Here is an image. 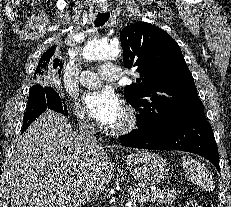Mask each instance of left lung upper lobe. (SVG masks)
<instances>
[{"label":"left lung upper lobe","mask_w":231,"mask_h":207,"mask_svg":"<svg viewBox=\"0 0 231 207\" xmlns=\"http://www.w3.org/2000/svg\"><path fill=\"white\" fill-rule=\"evenodd\" d=\"M126 67H136L137 84L124 97L140 115L139 129L161 130L176 119L204 112L191 72L176 41L162 29L136 22L120 33Z\"/></svg>","instance_id":"5c2ea615"}]
</instances>
